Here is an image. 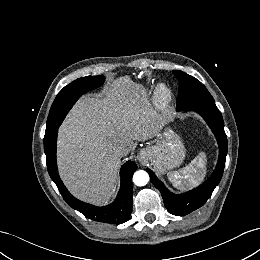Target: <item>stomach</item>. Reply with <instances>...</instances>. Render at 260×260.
<instances>
[{
    "mask_svg": "<svg viewBox=\"0 0 260 260\" xmlns=\"http://www.w3.org/2000/svg\"><path fill=\"white\" fill-rule=\"evenodd\" d=\"M147 152L154 168L165 172L181 165L186 150L179 136L171 129H166L157 135L155 144L149 146Z\"/></svg>",
    "mask_w": 260,
    "mask_h": 260,
    "instance_id": "obj_1",
    "label": "stomach"
}]
</instances>
